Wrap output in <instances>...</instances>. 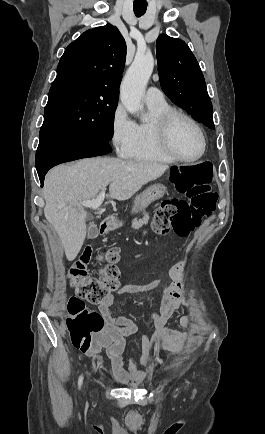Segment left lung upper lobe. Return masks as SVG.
Listing matches in <instances>:
<instances>
[{
    "instance_id": "5c2ea615",
    "label": "left lung upper lobe",
    "mask_w": 265,
    "mask_h": 434,
    "mask_svg": "<svg viewBox=\"0 0 265 434\" xmlns=\"http://www.w3.org/2000/svg\"><path fill=\"white\" fill-rule=\"evenodd\" d=\"M156 54L159 80L165 94L196 121L215 129L205 80L188 45L161 34L156 42Z\"/></svg>"
}]
</instances>
